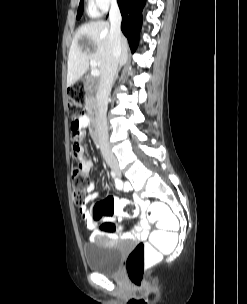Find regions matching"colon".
<instances>
[{
  "label": "colon",
  "mask_w": 247,
  "mask_h": 304,
  "mask_svg": "<svg viewBox=\"0 0 247 304\" xmlns=\"http://www.w3.org/2000/svg\"><path fill=\"white\" fill-rule=\"evenodd\" d=\"M68 113L73 122H77L83 114L85 102V89L81 82H78L68 89ZM72 122V123H73ZM72 191L75 203L80 207L84 203L88 177L79 167H75L72 176ZM138 207L132 202L107 197L97 202L92 211L95 220L101 221L114 215L135 217L138 214ZM148 225H154V233L150 242H140L129 253L126 261V272L132 286L139 288L143 284L144 271L148 264L155 259H160V253H173V248L178 242V227L180 220L177 214H172L167 202H151L149 206ZM104 232L115 233L116 226L110 221H105L102 227Z\"/></svg>",
  "instance_id": "1"
}]
</instances>
